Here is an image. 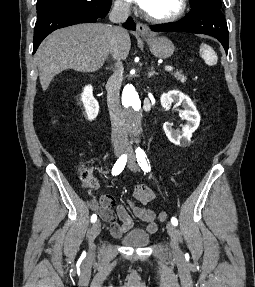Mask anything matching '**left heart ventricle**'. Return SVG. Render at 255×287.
Instances as JSON below:
<instances>
[{
  "label": "left heart ventricle",
  "mask_w": 255,
  "mask_h": 287,
  "mask_svg": "<svg viewBox=\"0 0 255 287\" xmlns=\"http://www.w3.org/2000/svg\"><path fill=\"white\" fill-rule=\"evenodd\" d=\"M150 33H167V32H150ZM154 39H165V38H154ZM153 48H169V47H153Z\"/></svg>",
  "instance_id": "1"
}]
</instances>
